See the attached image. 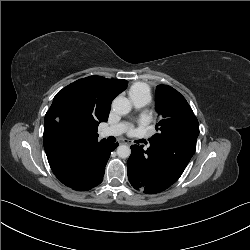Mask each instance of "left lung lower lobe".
I'll return each instance as SVG.
<instances>
[{
    "mask_svg": "<svg viewBox=\"0 0 250 250\" xmlns=\"http://www.w3.org/2000/svg\"><path fill=\"white\" fill-rule=\"evenodd\" d=\"M197 139L182 137L177 140L153 142L150 146L132 145L127 161L131 185L147 194L164 191L182 175L195 153Z\"/></svg>",
    "mask_w": 250,
    "mask_h": 250,
    "instance_id": "0a47b994",
    "label": "left lung lower lobe"
}]
</instances>
